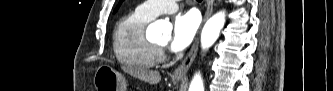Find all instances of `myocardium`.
I'll return each mask as SVG.
<instances>
[{
  "label": "myocardium",
  "mask_w": 333,
  "mask_h": 91,
  "mask_svg": "<svg viewBox=\"0 0 333 91\" xmlns=\"http://www.w3.org/2000/svg\"><path fill=\"white\" fill-rule=\"evenodd\" d=\"M156 54H157V60L162 61L164 59V51H165V46H161L158 44H153Z\"/></svg>",
  "instance_id": "myocardium-1"
}]
</instances>
